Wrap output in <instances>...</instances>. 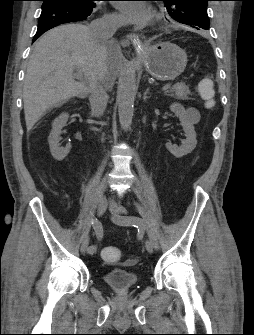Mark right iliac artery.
<instances>
[{
	"label": "right iliac artery",
	"mask_w": 254,
	"mask_h": 335,
	"mask_svg": "<svg viewBox=\"0 0 254 335\" xmlns=\"http://www.w3.org/2000/svg\"><path fill=\"white\" fill-rule=\"evenodd\" d=\"M91 225L94 229L97 239L101 240L103 237V226L101 222H99L97 219H91ZM96 252H97V245L89 246L88 253L90 255H94Z\"/></svg>",
	"instance_id": "1"
}]
</instances>
